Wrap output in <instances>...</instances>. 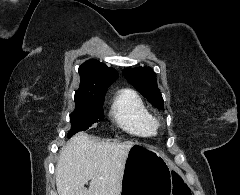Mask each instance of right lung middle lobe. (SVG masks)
<instances>
[{"instance_id": "obj_1", "label": "right lung middle lobe", "mask_w": 240, "mask_h": 195, "mask_svg": "<svg viewBox=\"0 0 240 195\" xmlns=\"http://www.w3.org/2000/svg\"><path fill=\"white\" fill-rule=\"evenodd\" d=\"M104 98H85L75 100V110L70 115L71 130L68 137L86 130L95 122L103 120Z\"/></svg>"}]
</instances>
